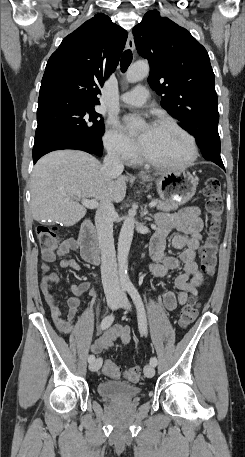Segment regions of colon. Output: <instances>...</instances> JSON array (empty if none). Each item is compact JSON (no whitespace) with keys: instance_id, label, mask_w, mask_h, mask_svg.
<instances>
[{"instance_id":"5ec220e1","label":"colon","mask_w":245,"mask_h":457,"mask_svg":"<svg viewBox=\"0 0 245 457\" xmlns=\"http://www.w3.org/2000/svg\"><path fill=\"white\" fill-rule=\"evenodd\" d=\"M206 197V210L209 217V226L203 245L200 248L202 270L205 275L211 276L217 263L218 233L220 221L223 214V199L219 179L210 177L206 180L204 188ZM37 236L43 254H53L60 245L61 236L54 226H40L37 229ZM199 305V296L194 295L182 308L178 324L181 328L188 327L196 318ZM103 374L117 378L120 375V368L111 360L104 361L102 366ZM142 370L139 366L127 368L123 376L128 382H137L141 378Z\"/></svg>"}]
</instances>
